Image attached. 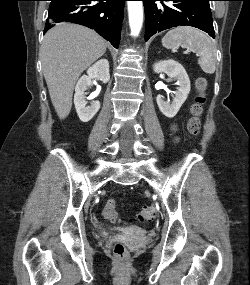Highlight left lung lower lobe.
Returning <instances> with one entry per match:
<instances>
[{"label": "left lung lower lobe", "instance_id": "1", "mask_svg": "<svg viewBox=\"0 0 250 285\" xmlns=\"http://www.w3.org/2000/svg\"><path fill=\"white\" fill-rule=\"evenodd\" d=\"M145 8L147 41L156 32L188 25L199 28L215 38L211 0H142ZM160 1V3H156Z\"/></svg>", "mask_w": 250, "mask_h": 285}]
</instances>
